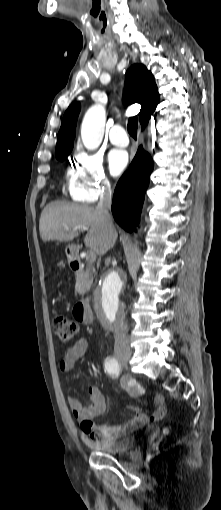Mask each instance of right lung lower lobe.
<instances>
[{
	"label": "right lung lower lobe",
	"instance_id": "obj_1",
	"mask_svg": "<svg viewBox=\"0 0 221 510\" xmlns=\"http://www.w3.org/2000/svg\"><path fill=\"white\" fill-rule=\"evenodd\" d=\"M153 161L142 146L139 147L130 167L120 178L113 196L112 213L116 222L132 232L138 225Z\"/></svg>",
	"mask_w": 221,
	"mask_h": 510
}]
</instances>
